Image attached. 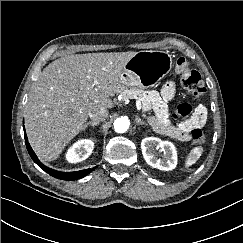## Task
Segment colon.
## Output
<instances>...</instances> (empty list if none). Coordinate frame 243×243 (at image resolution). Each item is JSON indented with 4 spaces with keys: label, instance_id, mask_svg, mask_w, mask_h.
<instances>
[{
    "label": "colon",
    "instance_id": "obj_1",
    "mask_svg": "<svg viewBox=\"0 0 243 243\" xmlns=\"http://www.w3.org/2000/svg\"><path fill=\"white\" fill-rule=\"evenodd\" d=\"M174 67L176 72L181 74L182 85L187 91L195 96H202L206 92V87L200 73L191 69L187 59L183 57L177 58ZM192 113V106L188 103H182L178 105L175 117L188 118L192 115ZM189 134L193 142H205V136L201 129L193 128Z\"/></svg>",
    "mask_w": 243,
    "mask_h": 243
}]
</instances>
